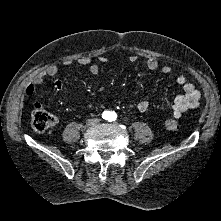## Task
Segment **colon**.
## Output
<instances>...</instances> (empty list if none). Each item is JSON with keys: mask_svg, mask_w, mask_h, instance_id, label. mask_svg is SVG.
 <instances>
[{"mask_svg": "<svg viewBox=\"0 0 221 221\" xmlns=\"http://www.w3.org/2000/svg\"><path fill=\"white\" fill-rule=\"evenodd\" d=\"M178 116L169 118L164 122V128L168 131H176L179 129ZM56 123V117L47 113L41 106L35 107L32 114V127L37 132H43Z\"/></svg>", "mask_w": 221, "mask_h": 221, "instance_id": "colon-1", "label": "colon"}]
</instances>
